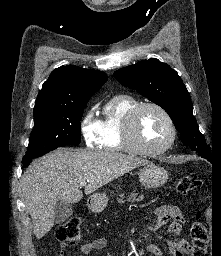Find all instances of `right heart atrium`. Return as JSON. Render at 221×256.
<instances>
[{"instance_id":"obj_1","label":"right heart atrium","mask_w":221,"mask_h":256,"mask_svg":"<svg viewBox=\"0 0 221 256\" xmlns=\"http://www.w3.org/2000/svg\"><path fill=\"white\" fill-rule=\"evenodd\" d=\"M80 130L87 146H100L102 139V124L96 117L94 108L89 109L83 116Z\"/></svg>"}]
</instances>
